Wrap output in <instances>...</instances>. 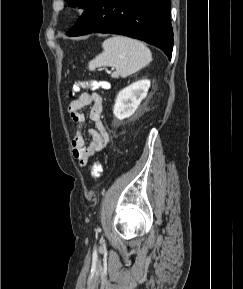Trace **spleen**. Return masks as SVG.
<instances>
[{
  "mask_svg": "<svg viewBox=\"0 0 243 289\" xmlns=\"http://www.w3.org/2000/svg\"><path fill=\"white\" fill-rule=\"evenodd\" d=\"M103 52L88 63V69L109 66L115 69L112 77H128L147 66L152 54L150 49L142 42L125 37L112 36L102 44Z\"/></svg>",
  "mask_w": 243,
  "mask_h": 289,
  "instance_id": "1",
  "label": "spleen"
}]
</instances>
